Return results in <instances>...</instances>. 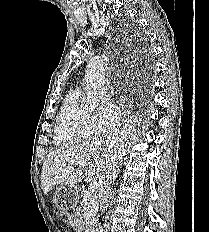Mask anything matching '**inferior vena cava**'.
<instances>
[{"label":"inferior vena cava","instance_id":"602c4592","mask_svg":"<svg viewBox=\"0 0 209 232\" xmlns=\"http://www.w3.org/2000/svg\"><path fill=\"white\" fill-rule=\"evenodd\" d=\"M108 139H114V134H109L107 136ZM109 153H113V160L111 163L106 167L104 173L101 176L100 184H99V190H98V196L100 201V209L103 212L105 209V205L108 202L111 192H112V185L114 182V179L116 177V165H117V154L119 153L117 151V146L114 145L113 142L109 143Z\"/></svg>","mask_w":209,"mask_h":232}]
</instances>
